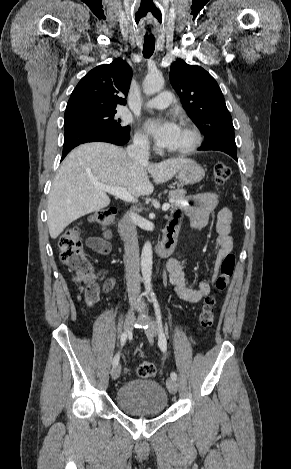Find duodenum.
I'll list each match as a JSON object with an SVG mask.
<instances>
[{
    "label": "duodenum",
    "mask_w": 291,
    "mask_h": 469,
    "mask_svg": "<svg viewBox=\"0 0 291 469\" xmlns=\"http://www.w3.org/2000/svg\"><path fill=\"white\" fill-rule=\"evenodd\" d=\"M127 229V219L123 217L119 222V232L123 237L126 236ZM177 237L178 229L173 226H167L162 240L156 246L157 255L161 258L169 257L176 246Z\"/></svg>",
    "instance_id": "1"
}]
</instances>
